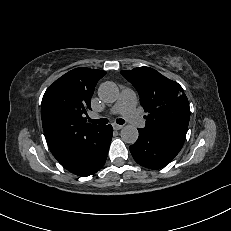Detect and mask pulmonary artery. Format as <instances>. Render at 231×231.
<instances>
[{
    "label": "pulmonary artery",
    "instance_id": "1",
    "mask_svg": "<svg viewBox=\"0 0 231 231\" xmlns=\"http://www.w3.org/2000/svg\"><path fill=\"white\" fill-rule=\"evenodd\" d=\"M136 95L132 90L125 89L121 92L117 102L109 109V115L122 114L133 126L145 127V120L136 109ZM98 114H92V118H98Z\"/></svg>",
    "mask_w": 231,
    "mask_h": 231
}]
</instances>
